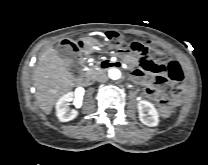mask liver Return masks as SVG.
Returning a JSON list of instances; mask_svg holds the SVG:
<instances>
[{"label":"liver","mask_w":208,"mask_h":165,"mask_svg":"<svg viewBox=\"0 0 208 165\" xmlns=\"http://www.w3.org/2000/svg\"><path fill=\"white\" fill-rule=\"evenodd\" d=\"M33 85L37 103L45 114H50L56 101L74 86L71 72L53 47L39 57Z\"/></svg>","instance_id":"1"}]
</instances>
